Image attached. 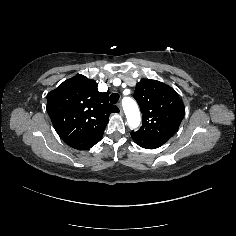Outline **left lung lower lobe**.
<instances>
[{
  "label": "left lung lower lobe",
  "instance_id": "0a47b994",
  "mask_svg": "<svg viewBox=\"0 0 236 236\" xmlns=\"http://www.w3.org/2000/svg\"><path fill=\"white\" fill-rule=\"evenodd\" d=\"M132 139L141 147L147 149H155L166 143L168 140L163 138H155V137H141L138 134L132 132Z\"/></svg>",
  "mask_w": 236,
  "mask_h": 236
}]
</instances>
